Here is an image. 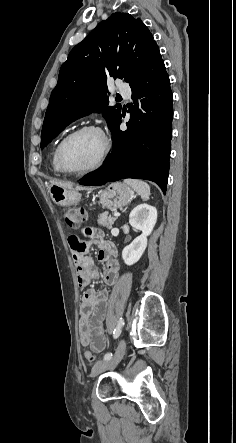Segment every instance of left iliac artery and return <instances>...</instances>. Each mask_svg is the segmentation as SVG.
<instances>
[{
    "label": "left iliac artery",
    "mask_w": 236,
    "mask_h": 443,
    "mask_svg": "<svg viewBox=\"0 0 236 443\" xmlns=\"http://www.w3.org/2000/svg\"><path fill=\"white\" fill-rule=\"evenodd\" d=\"M124 324H125V323H124V319H123V318H120V319L118 320V323H117L116 328H115L114 331H113V337H114V339H116V338H118V337L120 336ZM111 358H112V353H107V354L104 355V360H109V359H111Z\"/></svg>",
    "instance_id": "44dca946"
}]
</instances>
